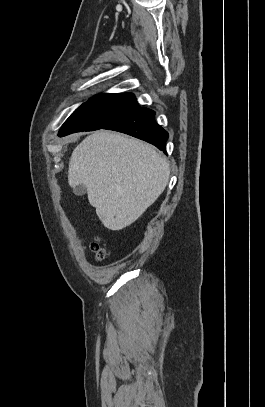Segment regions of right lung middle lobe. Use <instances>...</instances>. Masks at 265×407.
I'll list each match as a JSON object with an SVG mask.
<instances>
[{
    "instance_id": "1",
    "label": "right lung middle lobe",
    "mask_w": 265,
    "mask_h": 407,
    "mask_svg": "<svg viewBox=\"0 0 265 407\" xmlns=\"http://www.w3.org/2000/svg\"><path fill=\"white\" fill-rule=\"evenodd\" d=\"M138 107L135 96L131 93L98 95L76 109L58 135L104 128Z\"/></svg>"
}]
</instances>
